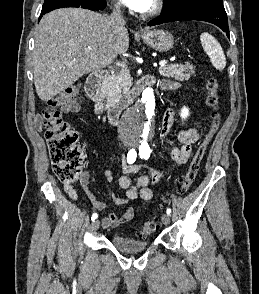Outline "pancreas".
Here are the masks:
<instances>
[{"mask_svg":"<svg viewBox=\"0 0 259 294\" xmlns=\"http://www.w3.org/2000/svg\"><path fill=\"white\" fill-rule=\"evenodd\" d=\"M160 75L171 77L175 80L184 81L190 79L191 75L195 74V67L189 62L185 65H165L159 68ZM132 86V79L127 69H121L115 74H112L104 88L107 98V105L112 106L120 102L128 103L131 97L127 96ZM125 96L126 101L121 100Z\"/></svg>","mask_w":259,"mask_h":294,"instance_id":"1","label":"pancreas"}]
</instances>
